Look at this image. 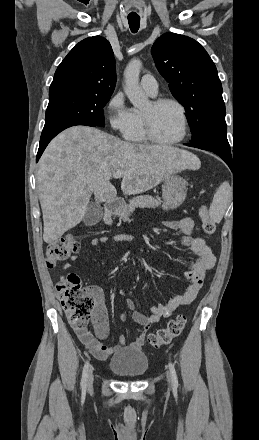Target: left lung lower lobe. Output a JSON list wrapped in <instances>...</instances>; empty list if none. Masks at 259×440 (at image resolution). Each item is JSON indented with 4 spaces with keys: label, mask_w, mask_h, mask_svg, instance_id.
<instances>
[{
    "label": "left lung lower lobe",
    "mask_w": 259,
    "mask_h": 440,
    "mask_svg": "<svg viewBox=\"0 0 259 440\" xmlns=\"http://www.w3.org/2000/svg\"><path fill=\"white\" fill-rule=\"evenodd\" d=\"M186 145L203 150H208L217 154L231 168L232 157L230 145L227 140V132H211L195 141H191V143H188Z\"/></svg>",
    "instance_id": "left-lung-lower-lobe-1"
}]
</instances>
